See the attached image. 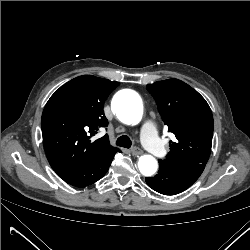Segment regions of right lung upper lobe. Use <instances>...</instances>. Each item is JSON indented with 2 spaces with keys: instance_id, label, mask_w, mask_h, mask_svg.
I'll return each instance as SVG.
<instances>
[{
  "instance_id": "cb5924a9",
  "label": "right lung upper lobe",
  "mask_w": 250,
  "mask_h": 250,
  "mask_svg": "<svg viewBox=\"0 0 250 250\" xmlns=\"http://www.w3.org/2000/svg\"><path fill=\"white\" fill-rule=\"evenodd\" d=\"M118 85L83 75L61 86L48 100L41 128L45 153L56 173L82 169L107 152L119 151L110 145L108 135L91 139L107 127L103 105Z\"/></svg>"
}]
</instances>
